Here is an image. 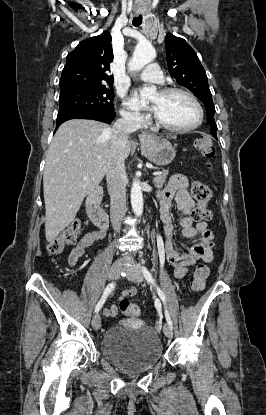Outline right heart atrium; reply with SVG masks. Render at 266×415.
<instances>
[{"label": "right heart atrium", "mask_w": 266, "mask_h": 415, "mask_svg": "<svg viewBox=\"0 0 266 415\" xmlns=\"http://www.w3.org/2000/svg\"><path fill=\"white\" fill-rule=\"evenodd\" d=\"M121 115L125 120L134 124L142 123L145 120V117L136 111L122 110Z\"/></svg>", "instance_id": "d8ad5b80"}]
</instances>
